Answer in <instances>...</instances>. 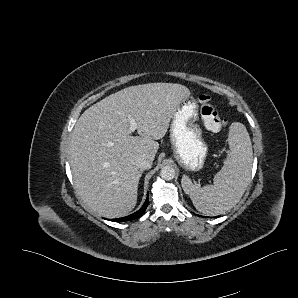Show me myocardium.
Returning a JSON list of instances; mask_svg holds the SVG:
<instances>
[{
    "instance_id": "1",
    "label": "myocardium",
    "mask_w": 298,
    "mask_h": 298,
    "mask_svg": "<svg viewBox=\"0 0 298 298\" xmlns=\"http://www.w3.org/2000/svg\"><path fill=\"white\" fill-rule=\"evenodd\" d=\"M151 159V158H150ZM150 159L146 162V164L145 165H147V164H149V162H150Z\"/></svg>"
}]
</instances>
